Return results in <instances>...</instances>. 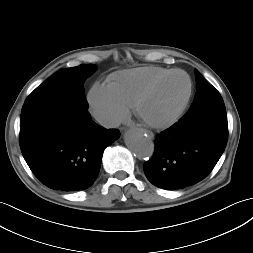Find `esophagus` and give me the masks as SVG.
Instances as JSON below:
<instances>
[{
  "mask_svg": "<svg viewBox=\"0 0 253 253\" xmlns=\"http://www.w3.org/2000/svg\"><path fill=\"white\" fill-rule=\"evenodd\" d=\"M141 132H144V133H147V135L150 137V138H153L154 137V134L151 132V131H148V130H145V129H140Z\"/></svg>",
  "mask_w": 253,
  "mask_h": 253,
  "instance_id": "34e87169",
  "label": "esophagus"
}]
</instances>
